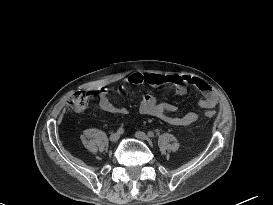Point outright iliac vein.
<instances>
[{"label":"right iliac vein","mask_w":273,"mask_h":205,"mask_svg":"<svg viewBox=\"0 0 273 205\" xmlns=\"http://www.w3.org/2000/svg\"><path fill=\"white\" fill-rule=\"evenodd\" d=\"M119 138H120V134L118 132H115L110 135L109 139L111 142H116L118 141Z\"/></svg>","instance_id":"obj_1"}]
</instances>
